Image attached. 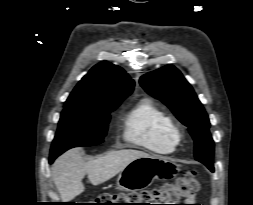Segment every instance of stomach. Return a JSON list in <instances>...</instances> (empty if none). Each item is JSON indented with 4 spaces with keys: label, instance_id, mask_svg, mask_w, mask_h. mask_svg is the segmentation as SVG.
Here are the masks:
<instances>
[{
    "label": "stomach",
    "instance_id": "1",
    "mask_svg": "<svg viewBox=\"0 0 253 205\" xmlns=\"http://www.w3.org/2000/svg\"><path fill=\"white\" fill-rule=\"evenodd\" d=\"M179 165L158 156L140 157L130 162L117 178V189L138 191L149 187L155 179L167 180L177 176Z\"/></svg>",
    "mask_w": 253,
    "mask_h": 205
}]
</instances>
